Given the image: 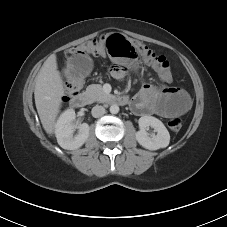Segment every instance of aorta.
<instances>
[{"mask_svg": "<svg viewBox=\"0 0 227 227\" xmlns=\"http://www.w3.org/2000/svg\"><path fill=\"white\" fill-rule=\"evenodd\" d=\"M119 112V106L116 104H113L110 106V113L117 114Z\"/></svg>", "mask_w": 227, "mask_h": 227, "instance_id": "1", "label": "aorta"}]
</instances>
